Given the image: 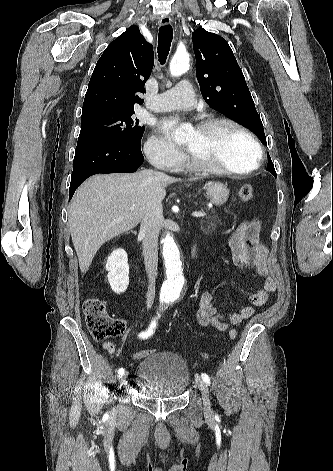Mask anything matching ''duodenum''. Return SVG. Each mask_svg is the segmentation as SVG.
<instances>
[{"label": "duodenum", "mask_w": 333, "mask_h": 471, "mask_svg": "<svg viewBox=\"0 0 333 471\" xmlns=\"http://www.w3.org/2000/svg\"><path fill=\"white\" fill-rule=\"evenodd\" d=\"M196 252H197V249H196V247L194 246V247L192 248V250H191V257H192V258L195 257Z\"/></svg>", "instance_id": "obj_1"}]
</instances>
